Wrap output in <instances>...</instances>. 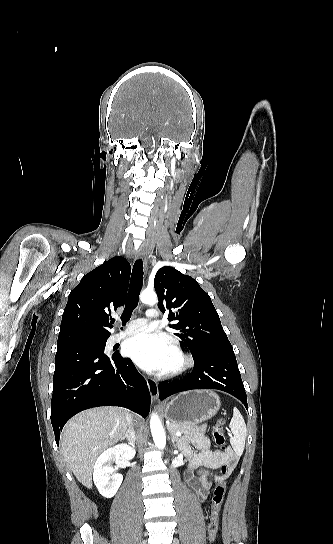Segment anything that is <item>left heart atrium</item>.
<instances>
[{"instance_id": "39dd6f15", "label": "left heart atrium", "mask_w": 333, "mask_h": 544, "mask_svg": "<svg viewBox=\"0 0 333 544\" xmlns=\"http://www.w3.org/2000/svg\"><path fill=\"white\" fill-rule=\"evenodd\" d=\"M124 352L144 370L165 371L172 346L164 337L145 330L125 341Z\"/></svg>"}]
</instances>
